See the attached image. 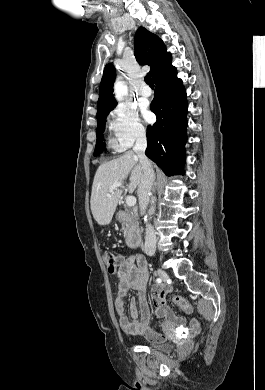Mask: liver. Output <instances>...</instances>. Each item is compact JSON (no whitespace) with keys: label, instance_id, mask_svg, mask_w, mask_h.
I'll return each instance as SVG.
<instances>
[{"label":"liver","instance_id":"liver-1","mask_svg":"<svg viewBox=\"0 0 265 390\" xmlns=\"http://www.w3.org/2000/svg\"><path fill=\"white\" fill-rule=\"evenodd\" d=\"M129 176L127 190L133 193L139 187L143 169L137 154L127 151L119 158L101 164L94 176L91 192V211L99 225H108L122 195V187L116 188L110 196L109 189L116 182L124 183Z\"/></svg>","mask_w":265,"mask_h":390}]
</instances>
